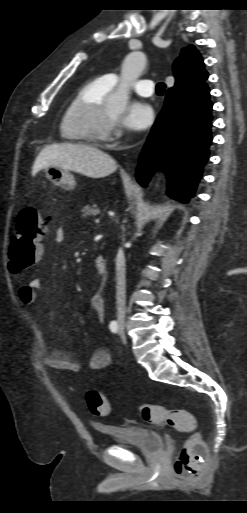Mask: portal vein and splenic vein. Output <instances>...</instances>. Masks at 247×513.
<instances>
[{
	"label": "portal vein and splenic vein",
	"instance_id": "portal-vein-and-splenic-vein-1",
	"mask_svg": "<svg viewBox=\"0 0 247 513\" xmlns=\"http://www.w3.org/2000/svg\"><path fill=\"white\" fill-rule=\"evenodd\" d=\"M95 222H96V223H98V222H99V219H96V220H95Z\"/></svg>",
	"mask_w": 247,
	"mask_h": 513
}]
</instances>
